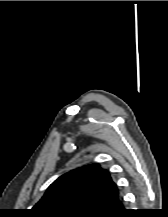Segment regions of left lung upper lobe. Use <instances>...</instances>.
<instances>
[{"mask_svg": "<svg viewBox=\"0 0 168 217\" xmlns=\"http://www.w3.org/2000/svg\"><path fill=\"white\" fill-rule=\"evenodd\" d=\"M118 196L107 170L86 165L55 180L31 212L36 217H100Z\"/></svg>", "mask_w": 168, "mask_h": 217, "instance_id": "left-lung-upper-lobe-1", "label": "left lung upper lobe"}]
</instances>
